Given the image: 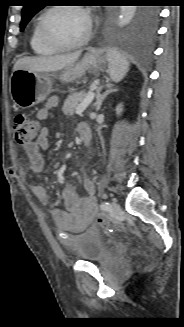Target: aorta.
<instances>
[{"label":"aorta","instance_id":"aorta-1","mask_svg":"<svg viewBox=\"0 0 184 327\" xmlns=\"http://www.w3.org/2000/svg\"><path fill=\"white\" fill-rule=\"evenodd\" d=\"M135 13H136L135 6H121L120 16H118V25L122 27L130 23Z\"/></svg>","mask_w":184,"mask_h":327}]
</instances>
